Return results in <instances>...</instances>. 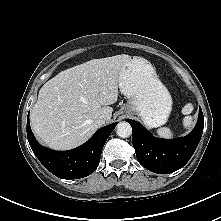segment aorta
Wrapping results in <instances>:
<instances>
[{
    "instance_id": "1",
    "label": "aorta",
    "mask_w": 221,
    "mask_h": 221,
    "mask_svg": "<svg viewBox=\"0 0 221 221\" xmlns=\"http://www.w3.org/2000/svg\"><path fill=\"white\" fill-rule=\"evenodd\" d=\"M116 133L121 138H128L132 134L131 125L128 122H119L116 126Z\"/></svg>"
}]
</instances>
